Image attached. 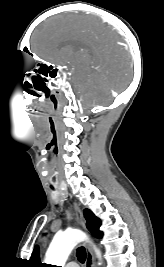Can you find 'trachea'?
I'll use <instances>...</instances> for the list:
<instances>
[{
    "label": "trachea",
    "mask_w": 164,
    "mask_h": 267,
    "mask_svg": "<svg viewBox=\"0 0 164 267\" xmlns=\"http://www.w3.org/2000/svg\"><path fill=\"white\" fill-rule=\"evenodd\" d=\"M77 258L81 263H84L86 260V251L84 247H80L77 249Z\"/></svg>",
    "instance_id": "obj_1"
}]
</instances>
